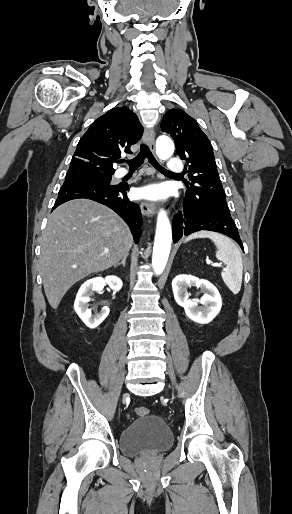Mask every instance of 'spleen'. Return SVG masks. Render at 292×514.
Listing matches in <instances>:
<instances>
[{
	"mask_svg": "<svg viewBox=\"0 0 292 514\" xmlns=\"http://www.w3.org/2000/svg\"><path fill=\"white\" fill-rule=\"evenodd\" d=\"M195 238H209L214 242L217 248V260L226 264V268L221 272L222 280L233 294H238L242 286L243 260L237 246L229 238L217 232H204V230L195 232L187 238L186 242Z\"/></svg>",
	"mask_w": 292,
	"mask_h": 514,
	"instance_id": "spleen-1",
	"label": "spleen"
}]
</instances>
